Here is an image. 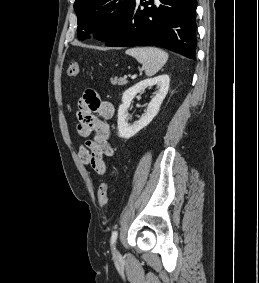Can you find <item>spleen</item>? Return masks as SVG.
I'll list each match as a JSON object with an SVG mask.
<instances>
[{"instance_id":"3e777b00","label":"spleen","mask_w":259,"mask_h":283,"mask_svg":"<svg viewBox=\"0 0 259 283\" xmlns=\"http://www.w3.org/2000/svg\"><path fill=\"white\" fill-rule=\"evenodd\" d=\"M125 53L143 65L148 77L155 75L168 60V54L156 47L130 48Z\"/></svg>"}]
</instances>
